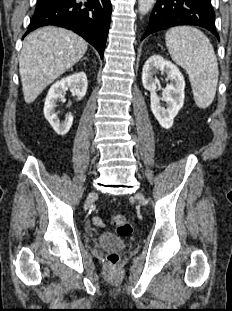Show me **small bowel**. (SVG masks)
<instances>
[{"label":"small bowel","instance_id":"small-bowel-1","mask_svg":"<svg viewBox=\"0 0 232 311\" xmlns=\"http://www.w3.org/2000/svg\"><path fill=\"white\" fill-rule=\"evenodd\" d=\"M93 223L97 226H104L103 220H101L100 218H97V217L93 219Z\"/></svg>","mask_w":232,"mask_h":311}]
</instances>
